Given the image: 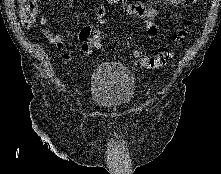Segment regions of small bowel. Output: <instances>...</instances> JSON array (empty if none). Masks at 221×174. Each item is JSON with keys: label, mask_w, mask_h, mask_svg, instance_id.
<instances>
[{"label": "small bowel", "mask_w": 221, "mask_h": 174, "mask_svg": "<svg viewBox=\"0 0 221 174\" xmlns=\"http://www.w3.org/2000/svg\"><path fill=\"white\" fill-rule=\"evenodd\" d=\"M185 0H135L125 7V11L129 15L136 16L143 21L144 31L149 37L156 36L158 32V26L155 23V19L160 13L159 5L166 4L169 6H178ZM106 14L104 6L100 5L95 11V20L100 21ZM41 22L44 25L42 33L45 37L62 52L64 58L69 61L71 56L67 52V47L62 35H56L49 31V22L45 18H41ZM93 28V23L87 24L82 29ZM81 32V31H80ZM80 39V34H79ZM81 41V40H80Z\"/></svg>", "instance_id": "c3829d8e"}]
</instances>
